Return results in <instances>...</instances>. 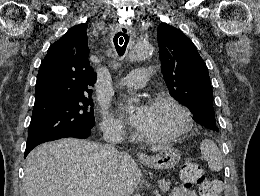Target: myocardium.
Wrapping results in <instances>:
<instances>
[{"label": "myocardium", "instance_id": "f54148a6", "mask_svg": "<svg viewBox=\"0 0 260 196\" xmlns=\"http://www.w3.org/2000/svg\"><path fill=\"white\" fill-rule=\"evenodd\" d=\"M150 104H169L176 107L183 114L184 122L183 125L174 132H170L162 135L147 134L145 136V139L147 141L156 142V143L172 141L182 137L190 130L193 122L192 112L186 105H184L177 98L170 95H159L153 97L150 100Z\"/></svg>", "mask_w": 260, "mask_h": 196}]
</instances>
